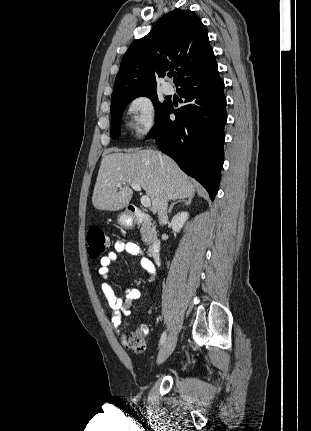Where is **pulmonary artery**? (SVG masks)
<instances>
[{
    "mask_svg": "<svg viewBox=\"0 0 311 431\" xmlns=\"http://www.w3.org/2000/svg\"><path fill=\"white\" fill-rule=\"evenodd\" d=\"M162 89H163V92H164L166 95H171V94H173V92H174V88H173V86H172L170 83H168V82H164V83H163V85H162Z\"/></svg>",
    "mask_w": 311,
    "mask_h": 431,
    "instance_id": "e3ab8cb5",
    "label": "pulmonary artery"
}]
</instances>
